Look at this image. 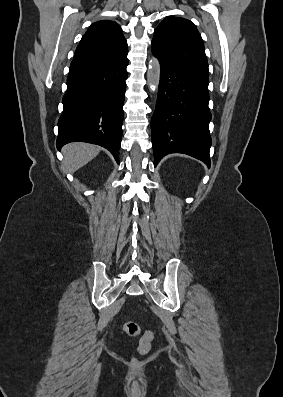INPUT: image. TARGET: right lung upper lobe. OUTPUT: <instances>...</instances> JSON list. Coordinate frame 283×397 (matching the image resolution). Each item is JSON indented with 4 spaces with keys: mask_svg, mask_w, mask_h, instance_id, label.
Wrapping results in <instances>:
<instances>
[{
    "mask_svg": "<svg viewBox=\"0 0 283 397\" xmlns=\"http://www.w3.org/2000/svg\"><path fill=\"white\" fill-rule=\"evenodd\" d=\"M128 46L121 27L114 21L93 23L77 46L70 74L127 60Z\"/></svg>",
    "mask_w": 283,
    "mask_h": 397,
    "instance_id": "right-lung-upper-lobe-1",
    "label": "right lung upper lobe"
}]
</instances>
